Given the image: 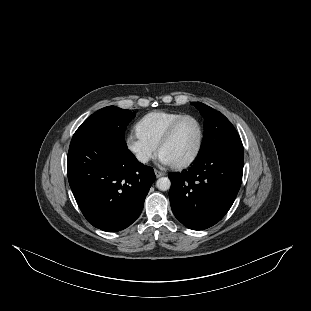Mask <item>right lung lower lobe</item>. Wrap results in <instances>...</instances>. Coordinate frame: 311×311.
<instances>
[{
    "label": "right lung lower lobe",
    "mask_w": 311,
    "mask_h": 311,
    "mask_svg": "<svg viewBox=\"0 0 311 311\" xmlns=\"http://www.w3.org/2000/svg\"><path fill=\"white\" fill-rule=\"evenodd\" d=\"M68 180L87 221L108 232L127 228L140 215L155 180L126 144L93 137L70 146Z\"/></svg>",
    "instance_id": "1"
}]
</instances>
